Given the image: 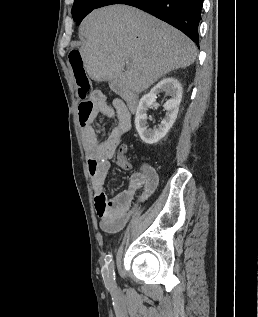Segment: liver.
<instances>
[{
	"instance_id": "liver-1",
	"label": "liver",
	"mask_w": 258,
	"mask_h": 317,
	"mask_svg": "<svg viewBox=\"0 0 258 317\" xmlns=\"http://www.w3.org/2000/svg\"><path fill=\"white\" fill-rule=\"evenodd\" d=\"M79 36L84 68L92 80H109L111 90L143 92L174 68L189 66L197 48L186 34L128 4L95 8L83 18ZM125 60L130 64L124 70Z\"/></svg>"
}]
</instances>
